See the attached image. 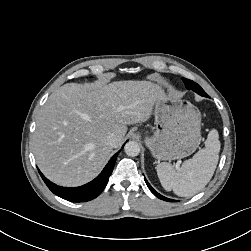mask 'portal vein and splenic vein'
<instances>
[{
    "label": "portal vein and splenic vein",
    "instance_id": "1",
    "mask_svg": "<svg viewBox=\"0 0 251 251\" xmlns=\"http://www.w3.org/2000/svg\"><path fill=\"white\" fill-rule=\"evenodd\" d=\"M177 168H179V163L177 164V166H176Z\"/></svg>",
    "mask_w": 251,
    "mask_h": 251
}]
</instances>
